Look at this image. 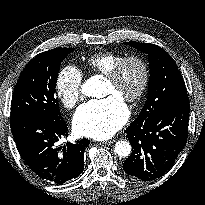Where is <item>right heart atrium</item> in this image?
Segmentation results:
<instances>
[{"label": "right heart atrium", "mask_w": 205, "mask_h": 205, "mask_svg": "<svg viewBox=\"0 0 205 205\" xmlns=\"http://www.w3.org/2000/svg\"><path fill=\"white\" fill-rule=\"evenodd\" d=\"M82 72L73 65L65 66L57 75L55 93L62 105L73 108L82 96Z\"/></svg>", "instance_id": "d8ad5b80"}]
</instances>
